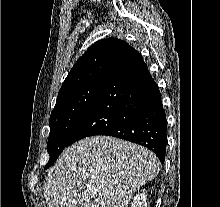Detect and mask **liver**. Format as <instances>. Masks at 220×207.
<instances>
[{"label": "liver", "instance_id": "1", "mask_svg": "<svg viewBox=\"0 0 220 207\" xmlns=\"http://www.w3.org/2000/svg\"><path fill=\"white\" fill-rule=\"evenodd\" d=\"M160 162L149 149L110 136L84 138L66 148L44 181L48 207H128L153 180Z\"/></svg>", "mask_w": 220, "mask_h": 207}]
</instances>
